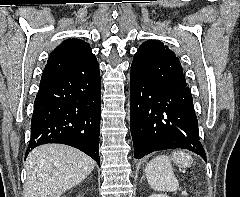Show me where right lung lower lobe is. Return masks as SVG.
<instances>
[{"instance_id":"obj_1","label":"right lung lower lobe","mask_w":240,"mask_h":197,"mask_svg":"<svg viewBox=\"0 0 240 197\" xmlns=\"http://www.w3.org/2000/svg\"><path fill=\"white\" fill-rule=\"evenodd\" d=\"M100 88L99 66L82 73L42 77L26 156L39 145L61 143L83 151L100 165Z\"/></svg>"}]
</instances>
